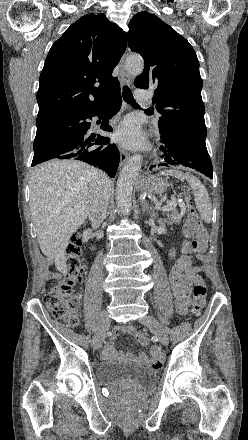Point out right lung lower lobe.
<instances>
[{
    "label": "right lung lower lobe",
    "instance_id": "right-lung-lower-lobe-1",
    "mask_svg": "<svg viewBox=\"0 0 248 440\" xmlns=\"http://www.w3.org/2000/svg\"><path fill=\"white\" fill-rule=\"evenodd\" d=\"M110 103H106L109 101ZM106 101L100 104L82 107L68 112L48 123L37 126L34 141L32 166L50 159H76L104 170L114 177L119 164V152L115 144H108V138L97 135L88 137L94 116L103 118L101 129L111 132L106 123L117 110L122 100L116 90ZM106 145V146H103Z\"/></svg>",
    "mask_w": 248,
    "mask_h": 440
}]
</instances>
